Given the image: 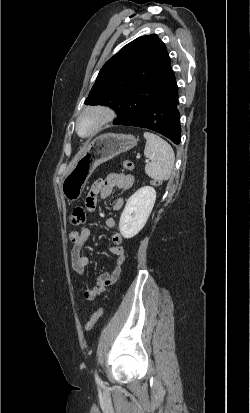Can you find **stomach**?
Instances as JSON below:
<instances>
[{
	"mask_svg": "<svg viewBox=\"0 0 250 413\" xmlns=\"http://www.w3.org/2000/svg\"><path fill=\"white\" fill-rule=\"evenodd\" d=\"M132 135L106 133L95 138L75 161L62 181L61 190L68 202L78 200L95 168L137 145Z\"/></svg>",
	"mask_w": 250,
	"mask_h": 413,
	"instance_id": "0dacf381",
	"label": "stomach"
}]
</instances>
